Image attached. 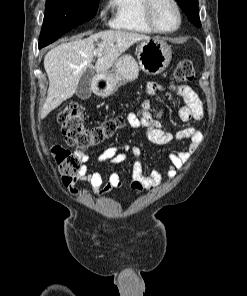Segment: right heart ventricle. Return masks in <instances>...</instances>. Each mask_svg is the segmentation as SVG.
<instances>
[{
  "mask_svg": "<svg viewBox=\"0 0 247 296\" xmlns=\"http://www.w3.org/2000/svg\"><path fill=\"white\" fill-rule=\"evenodd\" d=\"M145 2L146 0H109L111 27L141 34L154 33L144 15Z\"/></svg>",
  "mask_w": 247,
  "mask_h": 296,
  "instance_id": "1",
  "label": "right heart ventricle"
}]
</instances>
